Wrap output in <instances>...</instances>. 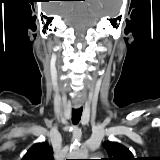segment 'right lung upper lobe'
<instances>
[{
  "label": "right lung upper lobe",
  "instance_id": "obj_1",
  "mask_svg": "<svg viewBox=\"0 0 160 160\" xmlns=\"http://www.w3.org/2000/svg\"><path fill=\"white\" fill-rule=\"evenodd\" d=\"M22 160H53V151L45 142L33 145Z\"/></svg>",
  "mask_w": 160,
  "mask_h": 160
}]
</instances>
